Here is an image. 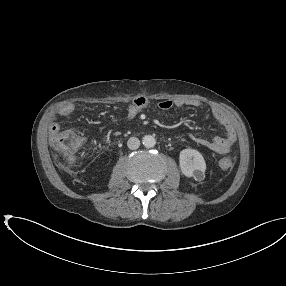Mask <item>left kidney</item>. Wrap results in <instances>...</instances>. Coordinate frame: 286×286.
Wrapping results in <instances>:
<instances>
[{"label": "left kidney", "instance_id": "left-kidney-1", "mask_svg": "<svg viewBox=\"0 0 286 286\" xmlns=\"http://www.w3.org/2000/svg\"><path fill=\"white\" fill-rule=\"evenodd\" d=\"M181 172L188 178L193 177L195 180L205 178L206 163L202 154L194 149H184L179 156Z\"/></svg>", "mask_w": 286, "mask_h": 286}]
</instances>
